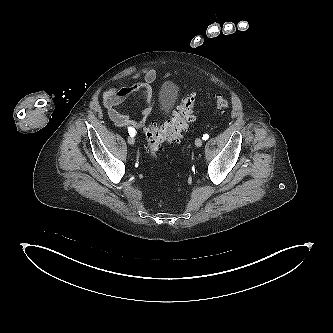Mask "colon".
I'll list each match as a JSON object with an SVG mask.
<instances>
[{
    "label": "colon",
    "mask_w": 333,
    "mask_h": 333,
    "mask_svg": "<svg viewBox=\"0 0 333 333\" xmlns=\"http://www.w3.org/2000/svg\"><path fill=\"white\" fill-rule=\"evenodd\" d=\"M195 101L196 94L194 92L188 93L182 98L177 110L167 122L162 125L152 123L145 128L146 152L148 155L154 156L165 144L180 142L183 134L195 118ZM214 103L221 113H224L229 107L228 100L220 94L214 95Z\"/></svg>",
    "instance_id": "colon-1"
}]
</instances>
